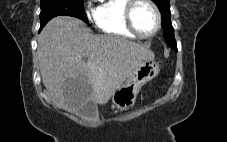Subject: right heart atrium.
Returning a JSON list of instances; mask_svg holds the SVG:
<instances>
[{
  "instance_id": "d8ad5b80",
  "label": "right heart atrium",
  "mask_w": 227,
  "mask_h": 142,
  "mask_svg": "<svg viewBox=\"0 0 227 142\" xmlns=\"http://www.w3.org/2000/svg\"><path fill=\"white\" fill-rule=\"evenodd\" d=\"M86 14H87L88 17H90L91 16V11L89 9H87Z\"/></svg>"
}]
</instances>
